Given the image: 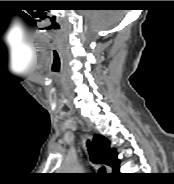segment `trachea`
I'll use <instances>...</instances> for the list:
<instances>
[{
    "instance_id": "obj_1",
    "label": "trachea",
    "mask_w": 174,
    "mask_h": 184,
    "mask_svg": "<svg viewBox=\"0 0 174 184\" xmlns=\"http://www.w3.org/2000/svg\"><path fill=\"white\" fill-rule=\"evenodd\" d=\"M87 147H88V151H89L91 161L93 163H99V158H98V156H97V154H96V152H95V150H94V148H93L90 141L87 142ZM103 170H104V168L101 167L100 171H103Z\"/></svg>"
}]
</instances>
